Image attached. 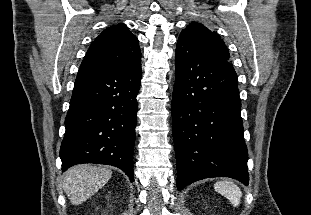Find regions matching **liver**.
<instances>
[{"label":"liver","mask_w":311,"mask_h":215,"mask_svg":"<svg viewBox=\"0 0 311 215\" xmlns=\"http://www.w3.org/2000/svg\"><path fill=\"white\" fill-rule=\"evenodd\" d=\"M112 171L107 168L81 164L67 170L63 189L74 205L81 204L98 192L111 178Z\"/></svg>","instance_id":"liver-1"}]
</instances>
